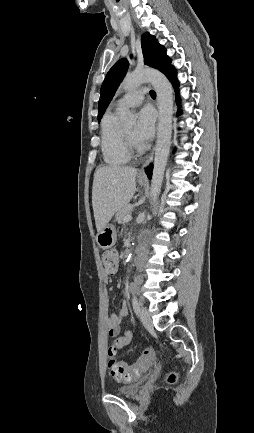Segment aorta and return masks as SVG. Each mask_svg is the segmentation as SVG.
<instances>
[{
    "instance_id": "762f6f07",
    "label": "aorta",
    "mask_w": 254,
    "mask_h": 433,
    "mask_svg": "<svg viewBox=\"0 0 254 433\" xmlns=\"http://www.w3.org/2000/svg\"><path fill=\"white\" fill-rule=\"evenodd\" d=\"M147 82L153 85L159 103L157 143L150 191L152 200L155 201L161 191L164 172L170 152L173 117V90L170 82L161 72L151 69L135 70L127 73L122 86L125 90H132ZM136 118V115L128 109H124L121 112V119L126 124L134 123Z\"/></svg>"
}]
</instances>
